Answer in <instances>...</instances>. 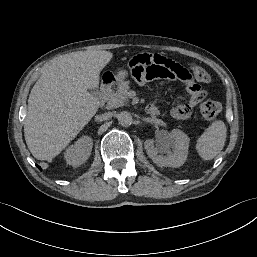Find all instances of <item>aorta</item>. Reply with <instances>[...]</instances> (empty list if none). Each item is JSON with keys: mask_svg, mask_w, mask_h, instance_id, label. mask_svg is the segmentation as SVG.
<instances>
[{"mask_svg": "<svg viewBox=\"0 0 257 257\" xmlns=\"http://www.w3.org/2000/svg\"><path fill=\"white\" fill-rule=\"evenodd\" d=\"M117 119L118 122L121 126H129L131 125L133 119H132V115L130 112L128 111H121L118 115H117Z\"/></svg>", "mask_w": 257, "mask_h": 257, "instance_id": "1", "label": "aorta"}]
</instances>
